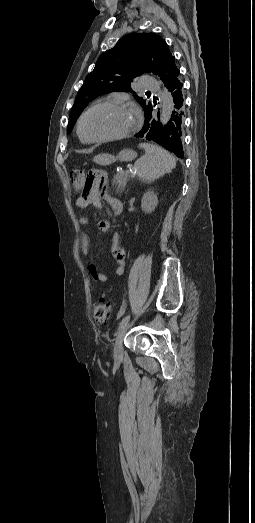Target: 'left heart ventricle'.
Here are the masks:
<instances>
[{"label":"left heart ventricle","mask_w":255,"mask_h":523,"mask_svg":"<svg viewBox=\"0 0 255 523\" xmlns=\"http://www.w3.org/2000/svg\"><path fill=\"white\" fill-rule=\"evenodd\" d=\"M136 117L135 110L130 106H99L85 116L82 132L88 139L120 135L134 126Z\"/></svg>","instance_id":"b2bd125f"}]
</instances>
